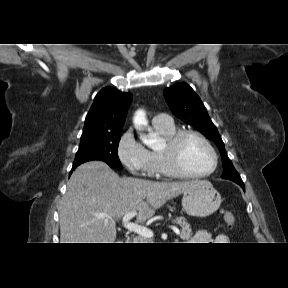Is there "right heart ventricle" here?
Returning <instances> with one entry per match:
<instances>
[{
  "mask_svg": "<svg viewBox=\"0 0 288 288\" xmlns=\"http://www.w3.org/2000/svg\"><path fill=\"white\" fill-rule=\"evenodd\" d=\"M155 133L161 137L164 141L173 136L178 130L172 123L168 126L154 125ZM150 152V164L156 176L164 177H177L166 165L161 150H152Z\"/></svg>",
  "mask_w": 288,
  "mask_h": 288,
  "instance_id": "obj_1",
  "label": "right heart ventricle"
}]
</instances>
